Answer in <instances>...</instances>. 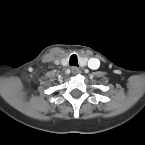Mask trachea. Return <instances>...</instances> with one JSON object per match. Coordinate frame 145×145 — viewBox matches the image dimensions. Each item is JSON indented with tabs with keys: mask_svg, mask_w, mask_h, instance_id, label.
Wrapping results in <instances>:
<instances>
[{
	"mask_svg": "<svg viewBox=\"0 0 145 145\" xmlns=\"http://www.w3.org/2000/svg\"><path fill=\"white\" fill-rule=\"evenodd\" d=\"M69 64L72 66H78L77 55L74 54L70 57Z\"/></svg>",
	"mask_w": 145,
	"mask_h": 145,
	"instance_id": "1",
	"label": "trachea"
}]
</instances>
